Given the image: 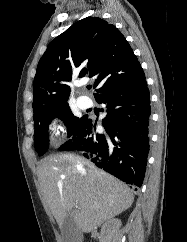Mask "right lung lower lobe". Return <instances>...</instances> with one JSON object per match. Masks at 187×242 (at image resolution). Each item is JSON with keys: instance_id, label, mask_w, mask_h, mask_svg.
I'll list each match as a JSON object with an SVG mask.
<instances>
[{"instance_id": "obj_1", "label": "right lung lower lobe", "mask_w": 187, "mask_h": 242, "mask_svg": "<svg viewBox=\"0 0 187 242\" xmlns=\"http://www.w3.org/2000/svg\"><path fill=\"white\" fill-rule=\"evenodd\" d=\"M106 105V134L96 133L86 117L59 150L81 151L96 166L137 187L142 185L149 153L150 94L145 77L96 99Z\"/></svg>"}]
</instances>
